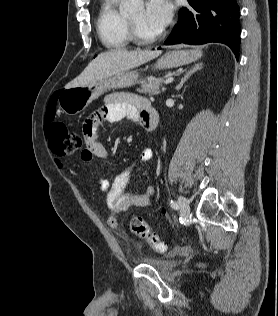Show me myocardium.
I'll return each mask as SVG.
<instances>
[{"instance_id": "1", "label": "myocardium", "mask_w": 278, "mask_h": 316, "mask_svg": "<svg viewBox=\"0 0 278 316\" xmlns=\"http://www.w3.org/2000/svg\"><path fill=\"white\" fill-rule=\"evenodd\" d=\"M127 26L131 40L140 45L152 44L161 39L164 35L163 31H159L157 34L153 36L143 35L137 27V25L129 17H127Z\"/></svg>"}]
</instances>
